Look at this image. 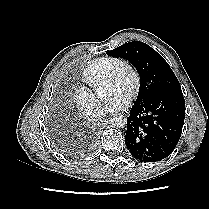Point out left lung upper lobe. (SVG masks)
<instances>
[{
  "label": "left lung upper lobe",
  "instance_id": "left-lung-upper-lobe-1",
  "mask_svg": "<svg viewBox=\"0 0 209 209\" xmlns=\"http://www.w3.org/2000/svg\"><path fill=\"white\" fill-rule=\"evenodd\" d=\"M107 54L126 59L137 69L140 90L135 103H142L160 93L181 88L168 63L146 43L129 42L108 51Z\"/></svg>",
  "mask_w": 209,
  "mask_h": 209
}]
</instances>
